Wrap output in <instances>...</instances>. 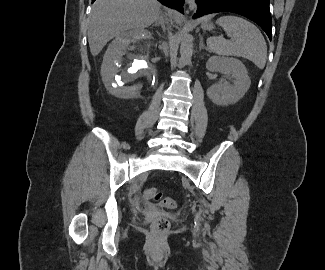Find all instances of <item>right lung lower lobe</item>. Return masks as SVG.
I'll list each match as a JSON object with an SVG mask.
<instances>
[{
	"label": "right lung lower lobe",
	"instance_id": "98d812e1",
	"mask_svg": "<svg viewBox=\"0 0 325 270\" xmlns=\"http://www.w3.org/2000/svg\"><path fill=\"white\" fill-rule=\"evenodd\" d=\"M95 0H92V2H94ZM160 1L162 4L170 7V8H174L182 13H184L183 11V4H184V0H158Z\"/></svg>",
	"mask_w": 325,
	"mask_h": 270
}]
</instances>
